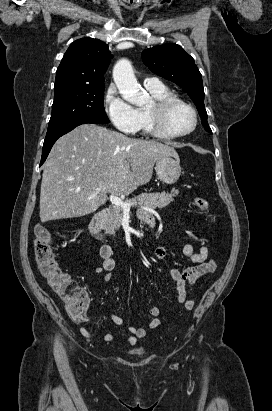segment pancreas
Here are the masks:
<instances>
[{"label": "pancreas", "mask_w": 272, "mask_h": 411, "mask_svg": "<svg viewBox=\"0 0 272 411\" xmlns=\"http://www.w3.org/2000/svg\"><path fill=\"white\" fill-rule=\"evenodd\" d=\"M178 194L177 190L172 189L171 193H142L128 202L132 205H140L142 207H148L151 209L164 208L174 201L173 197ZM123 218V209L120 206H113L112 212L105 223L106 232L115 235L119 230Z\"/></svg>", "instance_id": "1"}]
</instances>
